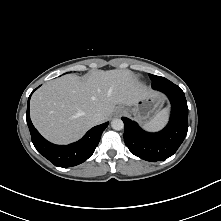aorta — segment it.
<instances>
[{
  "instance_id": "aorta-1",
  "label": "aorta",
  "mask_w": 221,
  "mask_h": 221,
  "mask_svg": "<svg viewBox=\"0 0 221 221\" xmlns=\"http://www.w3.org/2000/svg\"><path fill=\"white\" fill-rule=\"evenodd\" d=\"M111 127L114 129V130H122L124 128V123L121 119H113L111 121Z\"/></svg>"
}]
</instances>
